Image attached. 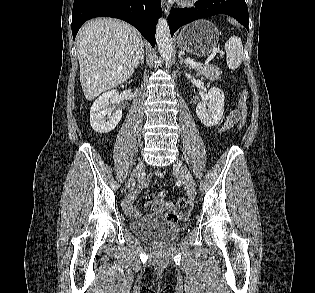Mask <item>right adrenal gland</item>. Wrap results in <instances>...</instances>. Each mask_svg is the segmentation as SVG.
Wrapping results in <instances>:
<instances>
[{
	"label": "right adrenal gland",
	"mask_w": 315,
	"mask_h": 293,
	"mask_svg": "<svg viewBox=\"0 0 315 293\" xmlns=\"http://www.w3.org/2000/svg\"><path fill=\"white\" fill-rule=\"evenodd\" d=\"M144 62V52L142 53V55H141V59H140V61H139V63L138 64H142Z\"/></svg>",
	"instance_id": "1"
}]
</instances>
